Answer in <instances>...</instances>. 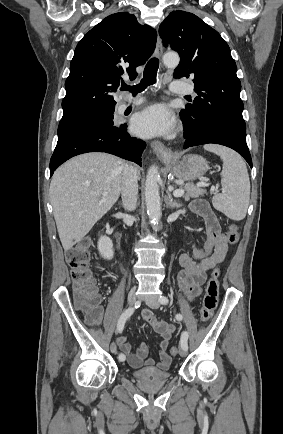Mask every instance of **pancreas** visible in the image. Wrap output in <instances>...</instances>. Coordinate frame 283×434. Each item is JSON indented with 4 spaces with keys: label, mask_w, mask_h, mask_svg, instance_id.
<instances>
[{
    "label": "pancreas",
    "mask_w": 283,
    "mask_h": 434,
    "mask_svg": "<svg viewBox=\"0 0 283 434\" xmlns=\"http://www.w3.org/2000/svg\"><path fill=\"white\" fill-rule=\"evenodd\" d=\"M181 188L185 191L184 198L188 200L189 198H197L200 196H204L206 194V190L200 188L198 185H194L191 183L184 184Z\"/></svg>",
    "instance_id": "1"
}]
</instances>
